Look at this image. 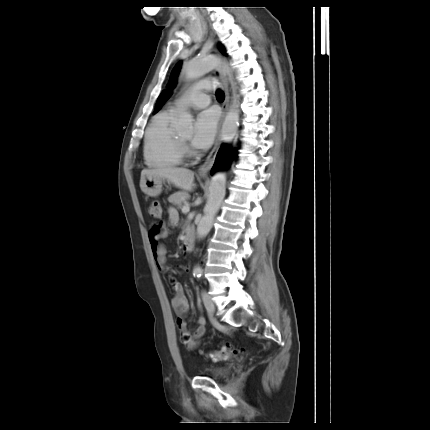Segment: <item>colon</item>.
<instances>
[{"label":"colon","mask_w":430,"mask_h":430,"mask_svg":"<svg viewBox=\"0 0 430 430\" xmlns=\"http://www.w3.org/2000/svg\"><path fill=\"white\" fill-rule=\"evenodd\" d=\"M149 213L153 218L160 219L162 216V209H161L160 204L158 202H152L149 206ZM239 352H240L239 349H237L236 347H234L230 344H227L219 350H215V351L208 353L207 356L211 360H213L215 362H219V361L229 360V359L237 356L239 354Z\"/></svg>","instance_id":"1"}]
</instances>
